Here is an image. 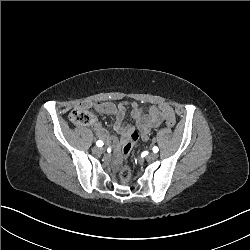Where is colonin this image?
Wrapping results in <instances>:
<instances>
[{"mask_svg": "<svg viewBox=\"0 0 250 250\" xmlns=\"http://www.w3.org/2000/svg\"><path fill=\"white\" fill-rule=\"evenodd\" d=\"M69 120L76 126H89L94 122V116L86 109L75 108L70 112ZM164 125L168 128L174 127L175 121L172 119H165ZM133 137L138 140L139 134L136 133L133 135ZM121 151V165L123 166V168L120 172L119 182L123 186H129L132 183L131 175L133 173L131 170V166L128 165L131 146L125 145Z\"/></svg>", "mask_w": 250, "mask_h": 250, "instance_id": "colon-1", "label": "colon"}]
</instances>
